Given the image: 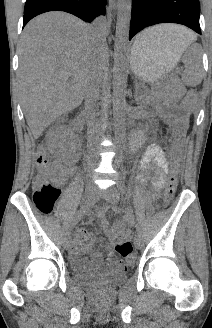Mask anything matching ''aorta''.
<instances>
[{
    "label": "aorta",
    "instance_id": "1",
    "mask_svg": "<svg viewBox=\"0 0 212 328\" xmlns=\"http://www.w3.org/2000/svg\"><path fill=\"white\" fill-rule=\"evenodd\" d=\"M132 0H119L113 66V118L115 136L122 141L125 136L126 85L128 72L127 49L131 20Z\"/></svg>",
    "mask_w": 212,
    "mask_h": 328
}]
</instances>
